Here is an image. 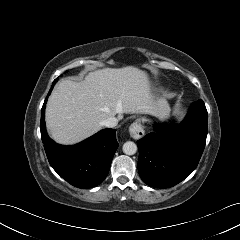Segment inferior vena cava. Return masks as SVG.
<instances>
[{
  "label": "inferior vena cava",
  "mask_w": 240,
  "mask_h": 240,
  "mask_svg": "<svg viewBox=\"0 0 240 240\" xmlns=\"http://www.w3.org/2000/svg\"><path fill=\"white\" fill-rule=\"evenodd\" d=\"M118 124V119L115 117H109L102 122V125L108 128H113Z\"/></svg>",
  "instance_id": "obj_1"
}]
</instances>
